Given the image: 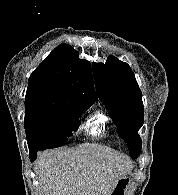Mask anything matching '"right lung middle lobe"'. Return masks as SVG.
Listing matches in <instances>:
<instances>
[{
  "instance_id": "obj_1",
  "label": "right lung middle lobe",
  "mask_w": 178,
  "mask_h": 195,
  "mask_svg": "<svg viewBox=\"0 0 178 195\" xmlns=\"http://www.w3.org/2000/svg\"><path fill=\"white\" fill-rule=\"evenodd\" d=\"M92 103L46 99L25 100V131L30 155L67 143L78 119Z\"/></svg>"
}]
</instances>
